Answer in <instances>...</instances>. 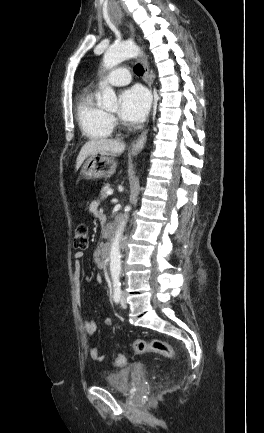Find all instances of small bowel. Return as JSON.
<instances>
[{"instance_id": "c3829d8e", "label": "small bowel", "mask_w": 264, "mask_h": 433, "mask_svg": "<svg viewBox=\"0 0 264 433\" xmlns=\"http://www.w3.org/2000/svg\"><path fill=\"white\" fill-rule=\"evenodd\" d=\"M89 210L95 214V215H99V201L97 200H93L90 204H89ZM83 252H76L74 255V279L76 281V300L78 305L80 306L81 304V294H80V279L82 277L83 274V264H82V259H83ZM95 284L99 285L102 283L103 278L101 275H96L95 277ZM104 323L106 325H112L113 324V320L112 318L108 317L104 319ZM84 326V330L88 335H94L97 331V325L95 323L94 320L88 319L86 321H84L83 323ZM89 355L90 358L93 361L96 362H100L103 360V355L101 354L99 348L97 347H92L89 351Z\"/></svg>"}]
</instances>
